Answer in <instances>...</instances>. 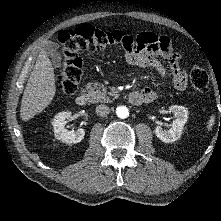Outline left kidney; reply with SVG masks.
<instances>
[{
  "label": "left kidney",
  "instance_id": "5707ae66",
  "mask_svg": "<svg viewBox=\"0 0 221 221\" xmlns=\"http://www.w3.org/2000/svg\"><path fill=\"white\" fill-rule=\"evenodd\" d=\"M169 111L174 113L176 117L171 128L164 130L161 126H157L155 129V135L164 143H172L178 140L188 119V110L183 106L172 105L169 107Z\"/></svg>",
  "mask_w": 221,
  "mask_h": 221
}]
</instances>
